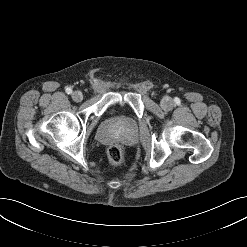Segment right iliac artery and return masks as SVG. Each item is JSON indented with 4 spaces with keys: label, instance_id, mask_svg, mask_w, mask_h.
I'll list each match as a JSON object with an SVG mask.
<instances>
[{
    "label": "right iliac artery",
    "instance_id": "right-iliac-artery-1",
    "mask_svg": "<svg viewBox=\"0 0 247 247\" xmlns=\"http://www.w3.org/2000/svg\"><path fill=\"white\" fill-rule=\"evenodd\" d=\"M66 93H67V94H71V93H72V89H71V88H69V87H68V88H66Z\"/></svg>",
    "mask_w": 247,
    "mask_h": 247
}]
</instances>
